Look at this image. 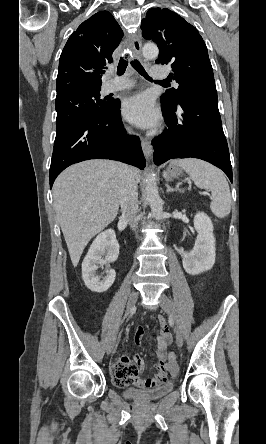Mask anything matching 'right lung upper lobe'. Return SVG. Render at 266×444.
<instances>
[{"instance_id":"1","label":"right lung upper lobe","mask_w":266,"mask_h":444,"mask_svg":"<svg viewBox=\"0 0 266 444\" xmlns=\"http://www.w3.org/2000/svg\"><path fill=\"white\" fill-rule=\"evenodd\" d=\"M123 31L112 14L101 11L84 21L69 37L59 59L57 97L101 89V77Z\"/></svg>"}]
</instances>
